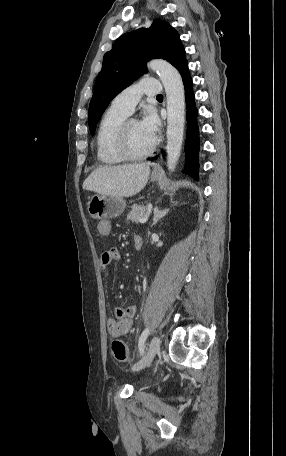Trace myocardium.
Returning <instances> with one entry per match:
<instances>
[{
    "label": "myocardium",
    "mask_w": 286,
    "mask_h": 456,
    "mask_svg": "<svg viewBox=\"0 0 286 456\" xmlns=\"http://www.w3.org/2000/svg\"><path fill=\"white\" fill-rule=\"evenodd\" d=\"M137 121L134 118H126L120 125L116 136V150L120 157L126 161H140L148 158L155 151L157 142L154 141L151 147L142 154H132L128 147V129L131 122Z\"/></svg>",
    "instance_id": "myocardium-1"
}]
</instances>
